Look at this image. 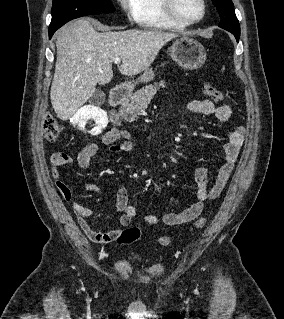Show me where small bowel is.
I'll use <instances>...</instances> for the list:
<instances>
[{"label": "small bowel", "mask_w": 284, "mask_h": 319, "mask_svg": "<svg viewBox=\"0 0 284 319\" xmlns=\"http://www.w3.org/2000/svg\"><path fill=\"white\" fill-rule=\"evenodd\" d=\"M187 109L193 114L213 115L222 122L230 120L232 111L228 105H215L210 100H192L187 104ZM102 142L108 146V153L132 152L135 150V143L130 134L119 128H111L102 135ZM244 140V130L242 127L232 129L227 141L222 147V158L214 179H211L206 168H198L195 173L197 183V200L188 208L178 213H167L162 218L156 215H146L144 220L148 225H156L161 220L164 224L175 226L190 222L202 213L204 203L213 201L219 197L225 188L237 161L240 149ZM98 146L94 142H89L77 156V163L80 168L87 170L91 159L97 154ZM51 173L55 185L62 197L71 204L77 221L85 235L93 242L107 244L117 241L118 236L123 231L115 229L108 232H98L88 223L87 218L91 216L92 210L79 204L73 197L72 191L63 179L62 167L72 164V158L63 152H56L51 155ZM86 189L92 193L100 194V189L92 182L86 183ZM116 210L121 213L119 223L122 227L128 226L135 215V207L130 204L128 192L124 187H119L116 196Z\"/></svg>", "instance_id": "1"}]
</instances>
